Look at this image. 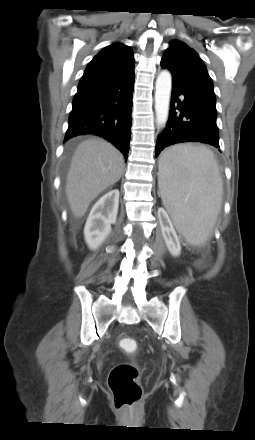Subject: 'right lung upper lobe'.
Returning a JSON list of instances; mask_svg holds the SVG:
<instances>
[{"label": "right lung upper lobe", "instance_id": "right-lung-upper-lobe-1", "mask_svg": "<svg viewBox=\"0 0 255 440\" xmlns=\"http://www.w3.org/2000/svg\"><path fill=\"white\" fill-rule=\"evenodd\" d=\"M133 67L134 59L131 49L119 42L112 43L88 64L78 88L110 79Z\"/></svg>", "mask_w": 255, "mask_h": 440}]
</instances>
